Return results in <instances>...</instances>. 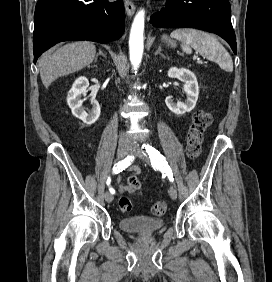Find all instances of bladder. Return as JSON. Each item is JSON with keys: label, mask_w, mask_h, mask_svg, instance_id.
I'll list each match as a JSON object with an SVG mask.
<instances>
[{"label": "bladder", "mask_w": 272, "mask_h": 282, "mask_svg": "<svg viewBox=\"0 0 272 282\" xmlns=\"http://www.w3.org/2000/svg\"><path fill=\"white\" fill-rule=\"evenodd\" d=\"M119 226L130 233L153 234L163 228L164 221L158 218L134 216L120 219Z\"/></svg>", "instance_id": "obj_1"}]
</instances>
